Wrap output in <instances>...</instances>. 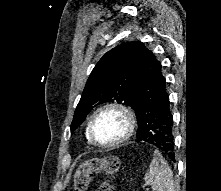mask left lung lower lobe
Listing matches in <instances>:
<instances>
[{
  "label": "left lung lower lobe",
  "instance_id": "left-lung-lower-lobe-1",
  "mask_svg": "<svg viewBox=\"0 0 221 191\" xmlns=\"http://www.w3.org/2000/svg\"><path fill=\"white\" fill-rule=\"evenodd\" d=\"M133 105L138 121L137 141H145L173 161V116L161 64L147 48L141 59L133 89Z\"/></svg>",
  "mask_w": 221,
  "mask_h": 191
}]
</instances>
